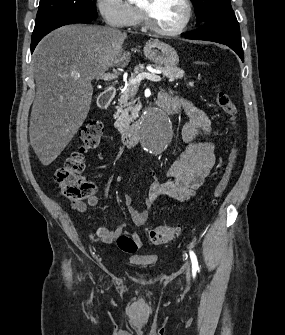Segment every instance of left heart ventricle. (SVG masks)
<instances>
[{"mask_svg": "<svg viewBox=\"0 0 285 335\" xmlns=\"http://www.w3.org/2000/svg\"><path fill=\"white\" fill-rule=\"evenodd\" d=\"M153 23L163 29L179 27L186 17V10L179 1H150Z\"/></svg>", "mask_w": 285, "mask_h": 335, "instance_id": "left-heart-ventricle-1", "label": "left heart ventricle"}]
</instances>
